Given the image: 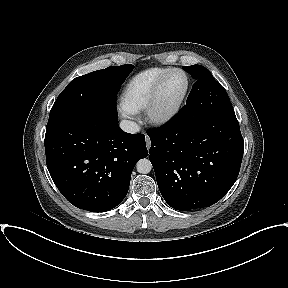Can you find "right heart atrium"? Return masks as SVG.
I'll list each match as a JSON object with an SVG mask.
<instances>
[{"instance_id":"d8ad5b80","label":"right heart atrium","mask_w":288,"mask_h":288,"mask_svg":"<svg viewBox=\"0 0 288 288\" xmlns=\"http://www.w3.org/2000/svg\"><path fill=\"white\" fill-rule=\"evenodd\" d=\"M119 112L126 118H130L134 115V113L130 111L123 102L119 105Z\"/></svg>"}]
</instances>
